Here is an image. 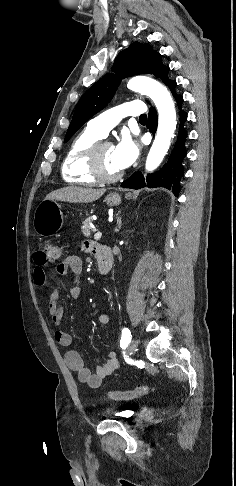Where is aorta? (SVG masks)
Listing matches in <instances>:
<instances>
[{"label":"aorta","mask_w":236,"mask_h":486,"mask_svg":"<svg viewBox=\"0 0 236 486\" xmlns=\"http://www.w3.org/2000/svg\"><path fill=\"white\" fill-rule=\"evenodd\" d=\"M127 87L149 96L157 107L159 118L155 140L146 159V170H155L162 162L176 129V111L168 90L158 81L148 77L132 78Z\"/></svg>","instance_id":"aorta-1"}]
</instances>
